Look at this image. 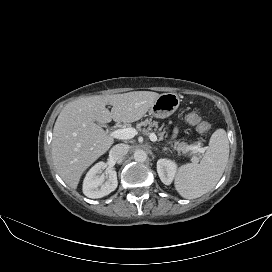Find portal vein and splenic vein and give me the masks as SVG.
<instances>
[{"label": "portal vein and splenic vein", "instance_id": "18ae733b", "mask_svg": "<svg viewBox=\"0 0 272 272\" xmlns=\"http://www.w3.org/2000/svg\"><path fill=\"white\" fill-rule=\"evenodd\" d=\"M137 135V131L134 128L116 129L110 133L112 138L126 140L131 139ZM149 138L151 141H157V136L154 133H150ZM194 149L199 153H204L205 149L200 146H195Z\"/></svg>", "mask_w": 272, "mask_h": 272}]
</instances>
